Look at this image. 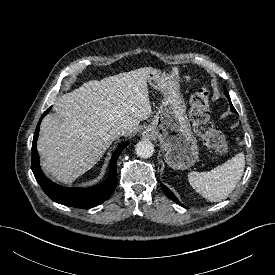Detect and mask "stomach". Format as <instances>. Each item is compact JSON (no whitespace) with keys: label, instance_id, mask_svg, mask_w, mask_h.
I'll use <instances>...</instances> for the list:
<instances>
[{"label":"stomach","instance_id":"0dacf381","mask_svg":"<svg viewBox=\"0 0 275 275\" xmlns=\"http://www.w3.org/2000/svg\"><path fill=\"white\" fill-rule=\"evenodd\" d=\"M178 70L162 72L153 69L148 82L163 93V100L144 134L156 137L165 151L166 163L173 169H188L199 158L197 141L186 115V105L180 93Z\"/></svg>","mask_w":275,"mask_h":275}]
</instances>
